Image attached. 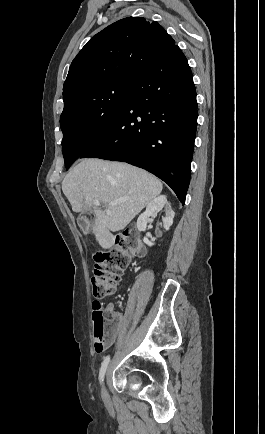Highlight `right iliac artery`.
I'll return each instance as SVG.
<instances>
[{
	"instance_id": "1",
	"label": "right iliac artery",
	"mask_w": 265,
	"mask_h": 434,
	"mask_svg": "<svg viewBox=\"0 0 265 434\" xmlns=\"http://www.w3.org/2000/svg\"><path fill=\"white\" fill-rule=\"evenodd\" d=\"M109 360H110V357L107 356V357H105L104 361L102 362L100 372H99V380L101 383L103 382L104 375H105Z\"/></svg>"
}]
</instances>
